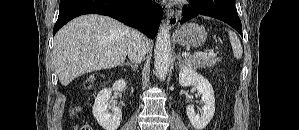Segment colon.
<instances>
[{"label": "colon", "instance_id": "colon-1", "mask_svg": "<svg viewBox=\"0 0 299 130\" xmlns=\"http://www.w3.org/2000/svg\"><path fill=\"white\" fill-rule=\"evenodd\" d=\"M94 84V80L91 79L87 82V88H91ZM78 111V108L75 109V112ZM76 130H93V128L90 126V125H87V124H82V125H79L77 127Z\"/></svg>", "mask_w": 299, "mask_h": 130}]
</instances>
